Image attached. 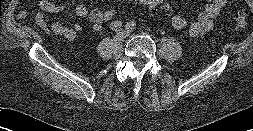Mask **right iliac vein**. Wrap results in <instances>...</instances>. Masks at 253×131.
I'll list each match as a JSON object with an SVG mask.
<instances>
[{"instance_id": "1", "label": "right iliac vein", "mask_w": 253, "mask_h": 131, "mask_svg": "<svg viewBox=\"0 0 253 131\" xmlns=\"http://www.w3.org/2000/svg\"><path fill=\"white\" fill-rule=\"evenodd\" d=\"M125 32L122 31V30H119L117 33H116V40L117 41H122L124 38H125Z\"/></svg>"}]
</instances>
